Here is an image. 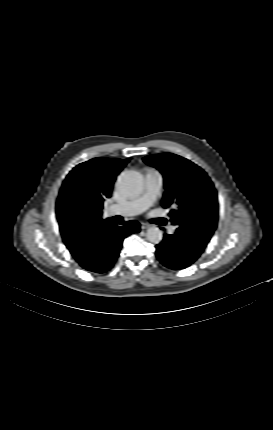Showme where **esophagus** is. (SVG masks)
I'll return each mask as SVG.
<instances>
[{"instance_id":"34e87169","label":"esophagus","mask_w":273,"mask_h":430,"mask_svg":"<svg viewBox=\"0 0 273 430\" xmlns=\"http://www.w3.org/2000/svg\"><path fill=\"white\" fill-rule=\"evenodd\" d=\"M149 227H150V224H149V223L141 222V229H147V228H149Z\"/></svg>"}]
</instances>
